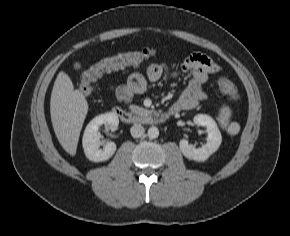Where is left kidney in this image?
Returning <instances> with one entry per match:
<instances>
[{"instance_id":"1","label":"left kidney","mask_w":290,"mask_h":236,"mask_svg":"<svg viewBox=\"0 0 290 236\" xmlns=\"http://www.w3.org/2000/svg\"><path fill=\"white\" fill-rule=\"evenodd\" d=\"M193 121L197 126L206 127L207 143L202 145L201 148H195L190 145L187 140L182 139L179 143V147L186 158L195 161H205L219 148L222 136L212 117L198 114L194 117Z\"/></svg>"}]
</instances>
